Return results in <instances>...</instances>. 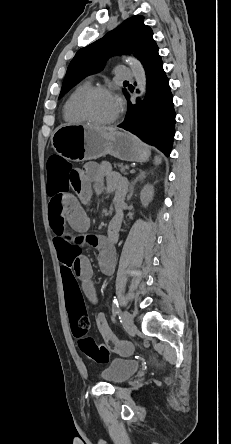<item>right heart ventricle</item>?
Returning <instances> with one entry per match:
<instances>
[{"mask_svg":"<svg viewBox=\"0 0 231 444\" xmlns=\"http://www.w3.org/2000/svg\"><path fill=\"white\" fill-rule=\"evenodd\" d=\"M90 87V82L83 81L76 85L66 98L63 106V117L67 122L72 124H82L86 122L79 113L78 103L83 93Z\"/></svg>","mask_w":231,"mask_h":444,"instance_id":"e07e8e85","label":"right heart ventricle"}]
</instances>
